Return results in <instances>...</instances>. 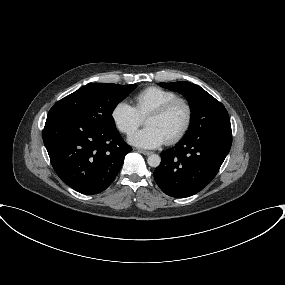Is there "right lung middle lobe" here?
Masks as SVG:
<instances>
[{"mask_svg":"<svg viewBox=\"0 0 285 285\" xmlns=\"http://www.w3.org/2000/svg\"><path fill=\"white\" fill-rule=\"evenodd\" d=\"M136 87V84H88L58 101L51 110L75 115L98 129L113 130L114 108Z\"/></svg>","mask_w":285,"mask_h":285,"instance_id":"right-lung-middle-lobe-1","label":"right lung middle lobe"}]
</instances>
